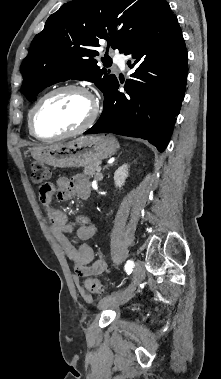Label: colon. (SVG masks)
<instances>
[{"mask_svg": "<svg viewBox=\"0 0 221 379\" xmlns=\"http://www.w3.org/2000/svg\"><path fill=\"white\" fill-rule=\"evenodd\" d=\"M32 181L39 186L40 196H45L51 190V171L50 169L39 162L32 164ZM86 289L91 293L102 294L104 288L101 282L93 277H89L84 282Z\"/></svg>", "mask_w": 221, "mask_h": 379, "instance_id": "5ec220e1", "label": "colon"}]
</instances>
